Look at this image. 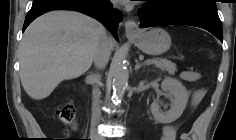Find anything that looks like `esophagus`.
Instances as JSON below:
<instances>
[{
  "label": "esophagus",
  "mask_w": 236,
  "mask_h": 140,
  "mask_svg": "<svg viewBox=\"0 0 236 140\" xmlns=\"http://www.w3.org/2000/svg\"><path fill=\"white\" fill-rule=\"evenodd\" d=\"M125 32L127 35H135L139 32L138 24L133 19L125 22Z\"/></svg>",
  "instance_id": "34e87169"
}]
</instances>
